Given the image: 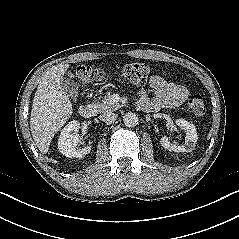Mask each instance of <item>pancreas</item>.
<instances>
[{"instance_id":"cf45deb5","label":"pancreas","mask_w":239,"mask_h":239,"mask_svg":"<svg viewBox=\"0 0 239 239\" xmlns=\"http://www.w3.org/2000/svg\"><path fill=\"white\" fill-rule=\"evenodd\" d=\"M94 106L98 112L102 113L108 111H115L119 109L122 105L118 102L113 101L111 95H107L101 102H96Z\"/></svg>"}]
</instances>
